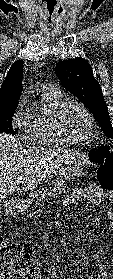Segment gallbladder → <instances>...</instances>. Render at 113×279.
<instances>
[{
	"instance_id": "bac80fb5",
	"label": "gallbladder",
	"mask_w": 113,
	"mask_h": 279,
	"mask_svg": "<svg viewBox=\"0 0 113 279\" xmlns=\"http://www.w3.org/2000/svg\"><path fill=\"white\" fill-rule=\"evenodd\" d=\"M6 202L0 200V212L3 207H5Z\"/></svg>"
}]
</instances>
